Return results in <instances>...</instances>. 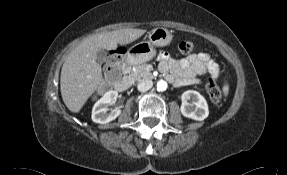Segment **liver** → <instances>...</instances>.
<instances>
[{"instance_id":"liver-1","label":"liver","mask_w":287,"mask_h":175,"mask_svg":"<svg viewBox=\"0 0 287 175\" xmlns=\"http://www.w3.org/2000/svg\"><path fill=\"white\" fill-rule=\"evenodd\" d=\"M146 30L121 29L84 39L67 56L61 70L60 90L66 107L79 112L88 98L104 83L101 65L96 61L100 49L115 50L140 38Z\"/></svg>"}]
</instances>
